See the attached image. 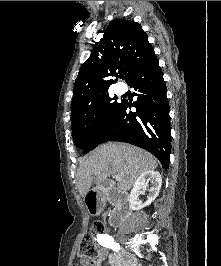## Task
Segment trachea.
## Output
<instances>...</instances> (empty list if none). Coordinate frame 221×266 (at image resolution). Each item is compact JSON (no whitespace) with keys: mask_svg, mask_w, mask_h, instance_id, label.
Returning <instances> with one entry per match:
<instances>
[{"mask_svg":"<svg viewBox=\"0 0 221 266\" xmlns=\"http://www.w3.org/2000/svg\"><path fill=\"white\" fill-rule=\"evenodd\" d=\"M120 78L123 79V80L125 79V77L123 75H121Z\"/></svg>","mask_w":221,"mask_h":266,"instance_id":"obj_1","label":"trachea"}]
</instances>
